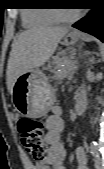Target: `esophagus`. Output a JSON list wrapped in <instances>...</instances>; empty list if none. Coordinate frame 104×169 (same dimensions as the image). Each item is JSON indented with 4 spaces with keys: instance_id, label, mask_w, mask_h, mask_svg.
Returning <instances> with one entry per match:
<instances>
[{
    "instance_id": "34e87169",
    "label": "esophagus",
    "mask_w": 104,
    "mask_h": 169,
    "mask_svg": "<svg viewBox=\"0 0 104 169\" xmlns=\"http://www.w3.org/2000/svg\"><path fill=\"white\" fill-rule=\"evenodd\" d=\"M72 34H73V35H76V34H77V32H72Z\"/></svg>"
}]
</instances>
